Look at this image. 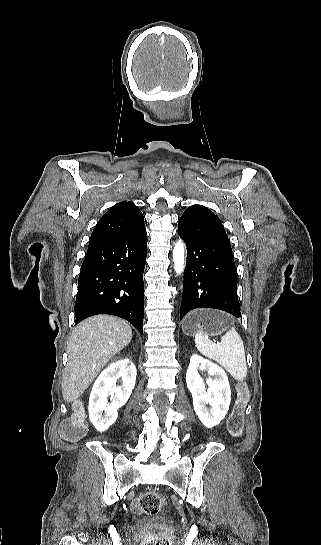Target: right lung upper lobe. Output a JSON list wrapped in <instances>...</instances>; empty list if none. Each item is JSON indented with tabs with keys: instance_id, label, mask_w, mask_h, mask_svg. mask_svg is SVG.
<instances>
[{
	"instance_id": "1",
	"label": "right lung upper lobe",
	"mask_w": 321,
	"mask_h": 545,
	"mask_svg": "<svg viewBox=\"0 0 321 545\" xmlns=\"http://www.w3.org/2000/svg\"><path fill=\"white\" fill-rule=\"evenodd\" d=\"M144 217L131 201L111 207L94 228L89 247L111 242L132 234L144 227Z\"/></svg>"
}]
</instances>
